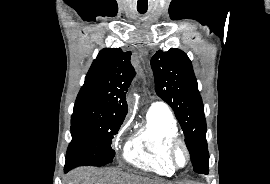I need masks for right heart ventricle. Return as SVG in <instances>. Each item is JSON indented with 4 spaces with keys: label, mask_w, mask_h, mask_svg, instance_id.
I'll use <instances>...</instances> for the list:
<instances>
[{
    "label": "right heart ventricle",
    "mask_w": 270,
    "mask_h": 184,
    "mask_svg": "<svg viewBox=\"0 0 270 184\" xmlns=\"http://www.w3.org/2000/svg\"><path fill=\"white\" fill-rule=\"evenodd\" d=\"M178 134V124L172 112L167 107H151L145 123L127 143L124 158L139 169L171 176L175 169L168 160V147Z\"/></svg>",
    "instance_id": "e07e8e85"
}]
</instances>
